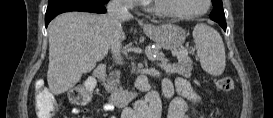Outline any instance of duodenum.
Wrapping results in <instances>:
<instances>
[{
	"instance_id": "obj_1",
	"label": "duodenum",
	"mask_w": 273,
	"mask_h": 118,
	"mask_svg": "<svg viewBox=\"0 0 273 118\" xmlns=\"http://www.w3.org/2000/svg\"><path fill=\"white\" fill-rule=\"evenodd\" d=\"M106 75V65L99 64L93 71V76L100 83V92L107 98L108 102L114 107H124L129 104L136 96L134 92L118 90L109 92L104 86L103 81Z\"/></svg>"
}]
</instances>
